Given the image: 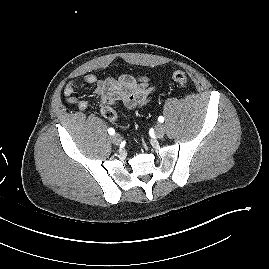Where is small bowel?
<instances>
[{
    "label": "small bowel",
    "instance_id": "c3829d8e",
    "mask_svg": "<svg viewBox=\"0 0 269 269\" xmlns=\"http://www.w3.org/2000/svg\"><path fill=\"white\" fill-rule=\"evenodd\" d=\"M80 82L95 86V93L101 100V113L106 118L107 110H113L114 104L121 102L127 109L134 110L146 105L154 91L146 76L126 74L118 78L98 80L95 75L86 74L81 79L70 80L64 88L66 101L80 110H86L90 106L88 101L74 96V90Z\"/></svg>",
    "mask_w": 269,
    "mask_h": 269
}]
</instances>
